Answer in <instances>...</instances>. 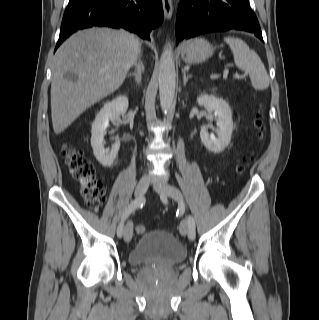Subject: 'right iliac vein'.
Here are the masks:
<instances>
[{"instance_id": "obj_1", "label": "right iliac vein", "mask_w": 319, "mask_h": 320, "mask_svg": "<svg viewBox=\"0 0 319 320\" xmlns=\"http://www.w3.org/2000/svg\"><path fill=\"white\" fill-rule=\"evenodd\" d=\"M148 189V180L142 179L138 182L135 188V197L140 198L142 197ZM133 235V225L131 222H128L125 230H124V240L125 242H130Z\"/></svg>"}]
</instances>
